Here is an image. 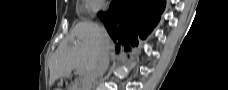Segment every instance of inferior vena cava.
<instances>
[{
    "label": "inferior vena cava",
    "mask_w": 228,
    "mask_h": 90,
    "mask_svg": "<svg viewBox=\"0 0 228 90\" xmlns=\"http://www.w3.org/2000/svg\"><path fill=\"white\" fill-rule=\"evenodd\" d=\"M103 37H106L108 34L104 27L101 28ZM109 66V55L108 49L103 42V47L100 53L97 56L95 63L90 69L87 78L83 82V90H94L96 79L104 75L105 71Z\"/></svg>",
    "instance_id": "1"
}]
</instances>
